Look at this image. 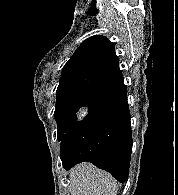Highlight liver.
Wrapping results in <instances>:
<instances>
[{"label": "liver", "mask_w": 178, "mask_h": 195, "mask_svg": "<svg viewBox=\"0 0 178 195\" xmlns=\"http://www.w3.org/2000/svg\"><path fill=\"white\" fill-rule=\"evenodd\" d=\"M70 195H117L116 180L91 163H81L70 173Z\"/></svg>", "instance_id": "1"}]
</instances>
